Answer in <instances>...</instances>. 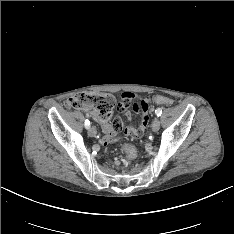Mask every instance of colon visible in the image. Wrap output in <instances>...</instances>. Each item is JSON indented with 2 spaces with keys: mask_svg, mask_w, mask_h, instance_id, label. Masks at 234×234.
Segmentation results:
<instances>
[{
  "mask_svg": "<svg viewBox=\"0 0 234 234\" xmlns=\"http://www.w3.org/2000/svg\"><path fill=\"white\" fill-rule=\"evenodd\" d=\"M125 98V97H124ZM123 99V98H122ZM151 99L157 104H171V100L164 96H151ZM132 100V99H131ZM120 104V103H119ZM119 104L117 109L119 108ZM115 105L114 98L107 93H81L71 97L67 102L68 108L80 109L89 111L95 115V117L101 121H111L112 111ZM136 127V126H135ZM120 149L126 152L127 160H133L136 156L135 149L129 143L120 145Z\"/></svg>",
  "mask_w": 234,
  "mask_h": 234,
  "instance_id": "colon-1",
  "label": "colon"
}]
</instances>
